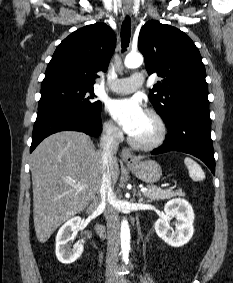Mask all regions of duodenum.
<instances>
[{
	"instance_id": "obj_1",
	"label": "duodenum",
	"mask_w": 233,
	"mask_h": 283,
	"mask_svg": "<svg viewBox=\"0 0 233 283\" xmlns=\"http://www.w3.org/2000/svg\"><path fill=\"white\" fill-rule=\"evenodd\" d=\"M91 211H92V208H89V209L87 210L88 213H90ZM97 231H98V233H99L101 236L104 235V229H103L102 226H97Z\"/></svg>"
}]
</instances>
